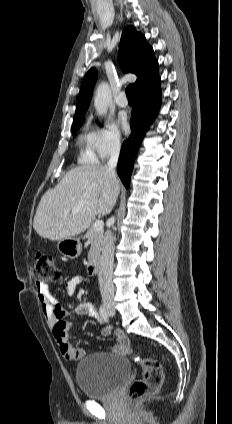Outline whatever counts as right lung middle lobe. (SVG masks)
<instances>
[{
    "label": "right lung middle lobe",
    "mask_w": 232,
    "mask_h": 424,
    "mask_svg": "<svg viewBox=\"0 0 232 424\" xmlns=\"http://www.w3.org/2000/svg\"><path fill=\"white\" fill-rule=\"evenodd\" d=\"M85 118L74 120L72 125V134L73 136L76 135L77 129L84 123Z\"/></svg>",
    "instance_id": "right-lung-middle-lobe-1"
}]
</instances>
